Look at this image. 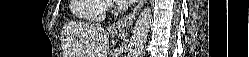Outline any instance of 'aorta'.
<instances>
[{
    "label": "aorta",
    "instance_id": "obj_1",
    "mask_svg": "<svg viewBox=\"0 0 249 57\" xmlns=\"http://www.w3.org/2000/svg\"><path fill=\"white\" fill-rule=\"evenodd\" d=\"M151 21L152 9L147 6L141 11L133 28L130 49L128 53L129 57H140L142 55L144 44L148 37Z\"/></svg>",
    "mask_w": 249,
    "mask_h": 57
}]
</instances>
